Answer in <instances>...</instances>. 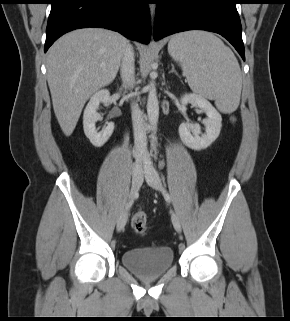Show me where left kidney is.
I'll list each match as a JSON object with an SVG mask.
<instances>
[{
  "mask_svg": "<svg viewBox=\"0 0 290 321\" xmlns=\"http://www.w3.org/2000/svg\"><path fill=\"white\" fill-rule=\"evenodd\" d=\"M180 102L183 106L188 103L202 109L207 118L203 120L206 127L205 133H201L199 125L190 123H181L179 126V135L183 143L193 149L202 150L209 147L219 136L222 127V117L212 104L204 97L197 94H185L181 97Z\"/></svg>",
  "mask_w": 290,
  "mask_h": 321,
  "instance_id": "1",
  "label": "left kidney"
}]
</instances>
